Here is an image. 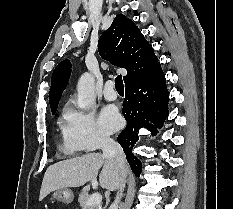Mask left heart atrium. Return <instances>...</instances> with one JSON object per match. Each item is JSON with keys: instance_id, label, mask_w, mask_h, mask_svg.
I'll return each instance as SVG.
<instances>
[{"instance_id": "left-heart-atrium-1", "label": "left heart atrium", "mask_w": 233, "mask_h": 209, "mask_svg": "<svg viewBox=\"0 0 233 209\" xmlns=\"http://www.w3.org/2000/svg\"><path fill=\"white\" fill-rule=\"evenodd\" d=\"M121 116L113 105L105 106L100 114V124L107 132H113L121 126Z\"/></svg>"}]
</instances>
